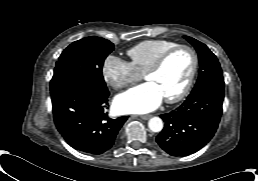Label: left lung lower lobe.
Wrapping results in <instances>:
<instances>
[{
    "label": "left lung lower lobe",
    "instance_id": "1",
    "mask_svg": "<svg viewBox=\"0 0 258 181\" xmlns=\"http://www.w3.org/2000/svg\"><path fill=\"white\" fill-rule=\"evenodd\" d=\"M224 88L211 87L188 96L176 110L162 114L164 129L156 137L159 146L172 156H187L205 146L217 130Z\"/></svg>",
    "mask_w": 258,
    "mask_h": 181
}]
</instances>
